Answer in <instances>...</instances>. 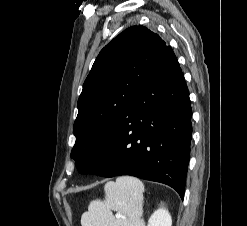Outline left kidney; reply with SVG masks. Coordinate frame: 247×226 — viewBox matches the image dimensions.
Instances as JSON below:
<instances>
[{"mask_svg": "<svg viewBox=\"0 0 247 226\" xmlns=\"http://www.w3.org/2000/svg\"><path fill=\"white\" fill-rule=\"evenodd\" d=\"M147 226H172L170 213L164 208L157 209L149 218Z\"/></svg>", "mask_w": 247, "mask_h": 226, "instance_id": "5707ae66", "label": "left kidney"}]
</instances>
